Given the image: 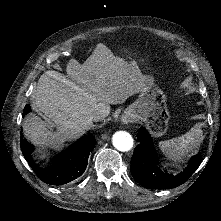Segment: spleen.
<instances>
[{
	"label": "spleen",
	"instance_id": "3e777b00",
	"mask_svg": "<svg viewBox=\"0 0 221 221\" xmlns=\"http://www.w3.org/2000/svg\"><path fill=\"white\" fill-rule=\"evenodd\" d=\"M201 137L202 130L195 129L180 137L161 141L159 147L168 158L182 160L188 152L192 151L202 141Z\"/></svg>",
	"mask_w": 221,
	"mask_h": 221
}]
</instances>
